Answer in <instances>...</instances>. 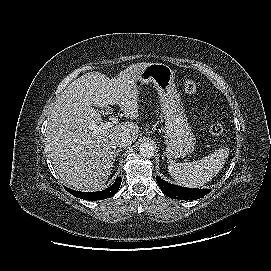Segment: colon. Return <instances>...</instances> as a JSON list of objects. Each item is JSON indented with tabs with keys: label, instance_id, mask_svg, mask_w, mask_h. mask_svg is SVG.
<instances>
[{
	"label": "colon",
	"instance_id": "1",
	"mask_svg": "<svg viewBox=\"0 0 271 271\" xmlns=\"http://www.w3.org/2000/svg\"><path fill=\"white\" fill-rule=\"evenodd\" d=\"M183 86H184V89L187 93H189L191 95L197 94L198 87H197V84L195 83V81H193L191 79H187L184 81ZM209 132L213 136H220L224 132V126L220 122H213L209 126Z\"/></svg>",
	"mask_w": 271,
	"mask_h": 271
}]
</instances>
